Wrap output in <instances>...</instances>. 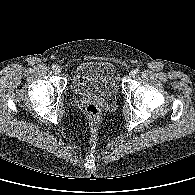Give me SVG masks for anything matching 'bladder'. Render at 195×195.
I'll return each instance as SVG.
<instances>
[{
	"mask_svg": "<svg viewBox=\"0 0 195 195\" xmlns=\"http://www.w3.org/2000/svg\"><path fill=\"white\" fill-rule=\"evenodd\" d=\"M71 90L79 97L113 98L119 92V72L108 61H85L75 70Z\"/></svg>",
	"mask_w": 195,
	"mask_h": 195,
	"instance_id": "31cf9c89",
	"label": "bladder"
}]
</instances>
